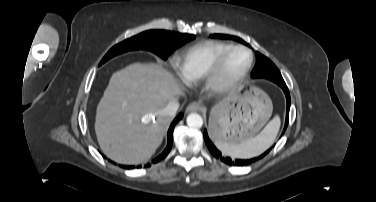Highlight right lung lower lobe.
<instances>
[{"mask_svg": "<svg viewBox=\"0 0 376 202\" xmlns=\"http://www.w3.org/2000/svg\"><path fill=\"white\" fill-rule=\"evenodd\" d=\"M183 117L182 113H180L175 119L174 121L172 122V124L170 125V128L168 130V144H167V147L165 148V150L162 152V154H160L157 158H155L153 160V163H157L159 161H161L162 159H164L167 154L170 152L171 150V147H172V143H173V130H174V127L176 125V123ZM123 168L125 169H133L134 166H123Z\"/></svg>", "mask_w": 376, "mask_h": 202, "instance_id": "right-lung-lower-lobe-1", "label": "right lung lower lobe"}]
</instances>
